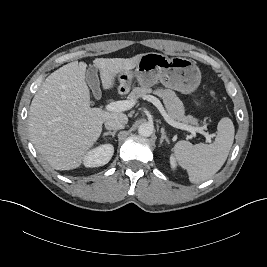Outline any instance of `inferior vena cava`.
<instances>
[{
    "label": "inferior vena cava",
    "mask_w": 267,
    "mask_h": 267,
    "mask_svg": "<svg viewBox=\"0 0 267 267\" xmlns=\"http://www.w3.org/2000/svg\"><path fill=\"white\" fill-rule=\"evenodd\" d=\"M126 121L121 118H109L105 121V128L108 130L124 129Z\"/></svg>",
    "instance_id": "obj_1"
}]
</instances>
